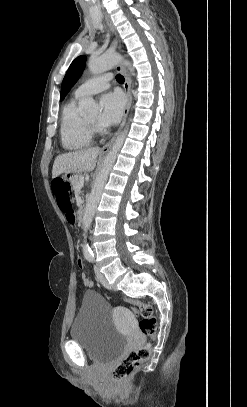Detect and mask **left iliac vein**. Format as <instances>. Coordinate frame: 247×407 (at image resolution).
I'll return each instance as SVG.
<instances>
[{"instance_id":"left-iliac-vein-1","label":"left iliac vein","mask_w":247,"mask_h":407,"mask_svg":"<svg viewBox=\"0 0 247 407\" xmlns=\"http://www.w3.org/2000/svg\"><path fill=\"white\" fill-rule=\"evenodd\" d=\"M95 269V273L96 276L98 278V280L100 281V283L107 289H111V285L108 283L106 277L104 276V274L100 271L99 267L97 265L94 266Z\"/></svg>"}]
</instances>
